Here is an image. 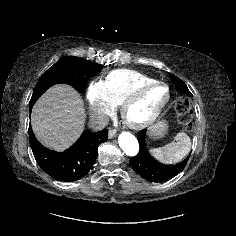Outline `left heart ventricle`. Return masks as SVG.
I'll return each mask as SVG.
<instances>
[{
  "mask_svg": "<svg viewBox=\"0 0 236 236\" xmlns=\"http://www.w3.org/2000/svg\"><path fill=\"white\" fill-rule=\"evenodd\" d=\"M165 95L166 90L164 87L156 86L152 88L130 109V117L134 120L147 118L154 108L165 98Z\"/></svg>",
  "mask_w": 236,
  "mask_h": 236,
  "instance_id": "left-heart-ventricle-1",
  "label": "left heart ventricle"
}]
</instances>
